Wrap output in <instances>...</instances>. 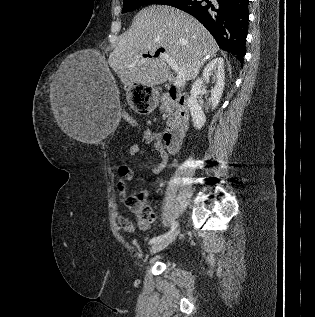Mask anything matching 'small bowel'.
Listing matches in <instances>:
<instances>
[{
	"instance_id": "1",
	"label": "small bowel",
	"mask_w": 315,
	"mask_h": 317,
	"mask_svg": "<svg viewBox=\"0 0 315 317\" xmlns=\"http://www.w3.org/2000/svg\"><path fill=\"white\" fill-rule=\"evenodd\" d=\"M142 137L146 144L152 145L158 155V163L154 166L153 171L155 173L161 172L167 163L168 153L163 147L162 137L159 133L150 129H144L142 131ZM127 153L130 157H135L143 153V149L138 144H131L128 147ZM118 175L120 181L118 183V198L120 201H124L126 198V185L125 183L132 178V171L127 165H120L118 167ZM139 196L145 202L148 197L146 190L142 191ZM117 222L121 225V229L125 233H131L134 231V226L131 222L127 221L121 214L116 216Z\"/></svg>"
}]
</instances>
